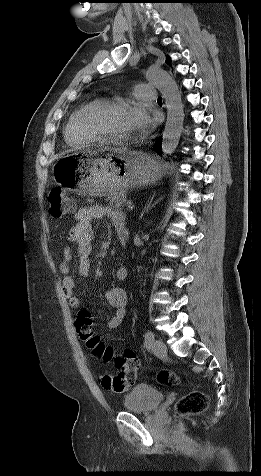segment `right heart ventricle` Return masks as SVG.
Wrapping results in <instances>:
<instances>
[{
    "label": "right heart ventricle",
    "mask_w": 261,
    "mask_h": 476,
    "mask_svg": "<svg viewBox=\"0 0 261 476\" xmlns=\"http://www.w3.org/2000/svg\"><path fill=\"white\" fill-rule=\"evenodd\" d=\"M93 102V101H91ZM86 103L76 109L69 117L67 124L65 126L64 130V137L66 143L71 146V147H82L91 143H94V140H90L85 138L79 131L78 125H77V120L80 112L88 105L90 104Z\"/></svg>",
    "instance_id": "right-heart-ventricle-1"
}]
</instances>
